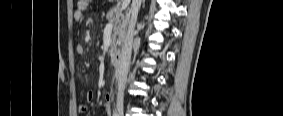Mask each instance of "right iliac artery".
Listing matches in <instances>:
<instances>
[{"instance_id": "obj_1", "label": "right iliac artery", "mask_w": 283, "mask_h": 116, "mask_svg": "<svg viewBox=\"0 0 283 116\" xmlns=\"http://www.w3.org/2000/svg\"><path fill=\"white\" fill-rule=\"evenodd\" d=\"M113 116H117V114L115 113Z\"/></svg>"}]
</instances>
